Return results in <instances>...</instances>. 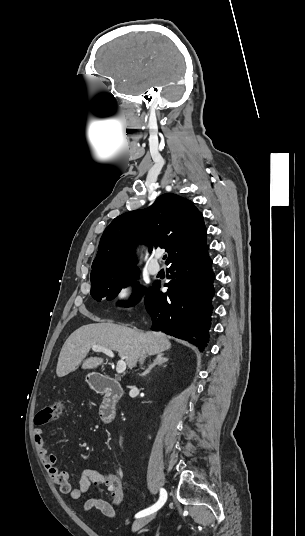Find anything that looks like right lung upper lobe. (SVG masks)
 <instances>
[{"mask_svg":"<svg viewBox=\"0 0 305 536\" xmlns=\"http://www.w3.org/2000/svg\"><path fill=\"white\" fill-rule=\"evenodd\" d=\"M137 242L165 248L166 264L206 246L202 213L191 201L167 193L147 209L116 217L105 229L92 264L91 281L112 278L139 270L133 252Z\"/></svg>","mask_w":305,"mask_h":536,"instance_id":"cb5924a9","label":"right lung upper lobe"}]
</instances>
